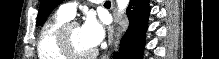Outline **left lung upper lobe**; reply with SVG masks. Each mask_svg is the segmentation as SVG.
I'll return each mask as SVG.
<instances>
[{"instance_id": "1", "label": "left lung upper lobe", "mask_w": 219, "mask_h": 59, "mask_svg": "<svg viewBox=\"0 0 219 59\" xmlns=\"http://www.w3.org/2000/svg\"><path fill=\"white\" fill-rule=\"evenodd\" d=\"M62 1L63 0H41L37 25H40Z\"/></svg>"}]
</instances>
